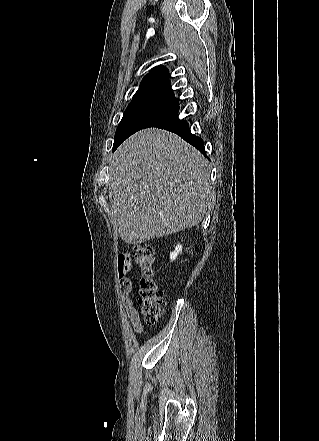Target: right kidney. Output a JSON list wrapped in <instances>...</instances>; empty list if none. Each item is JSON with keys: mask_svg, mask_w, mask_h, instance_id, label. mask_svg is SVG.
<instances>
[{"mask_svg": "<svg viewBox=\"0 0 319 441\" xmlns=\"http://www.w3.org/2000/svg\"><path fill=\"white\" fill-rule=\"evenodd\" d=\"M181 251H182V245L177 244L175 250L170 253V260L174 261L177 258L178 254L181 253Z\"/></svg>", "mask_w": 319, "mask_h": 441, "instance_id": "right-kidney-1", "label": "right kidney"}]
</instances>
